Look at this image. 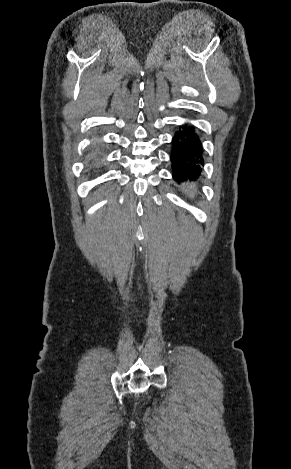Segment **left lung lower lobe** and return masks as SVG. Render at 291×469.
<instances>
[{
    "mask_svg": "<svg viewBox=\"0 0 291 469\" xmlns=\"http://www.w3.org/2000/svg\"><path fill=\"white\" fill-rule=\"evenodd\" d=\"M170 155L176 181L194 179L200 175L204 165L203 148L193 126L185 124L175 133Z\"/></svg>",
    "mask_w": 291,
    "mask_h": 469,
    "instance_id": "0a47b994",
    "label": "left lung lower lobe"
}]
</instances>
